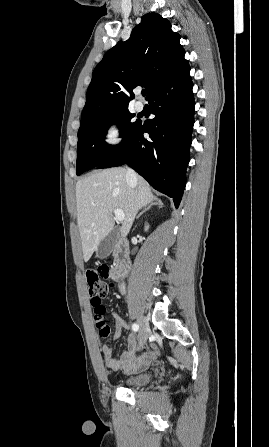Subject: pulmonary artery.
Here are the masks:
<instances>
[{
    "mask_svg": "<svg viewBox=\"0 0 269 447\" xmlns=\"http://www.w3.org/2000/svg\"><path fill=\"white\" fill-rule=\"evenodd\" d=\"M136 108H137L138 111L143 110V108H144V103H143L142 101H137V103H136Z\"/></svg>",
    "mask_w": 269,
    "mask_h": 447,
    "instance_id": "pulmonary-artery-1",
    "label": "pulmonary artery"
}]
</instances>
